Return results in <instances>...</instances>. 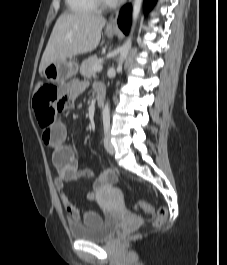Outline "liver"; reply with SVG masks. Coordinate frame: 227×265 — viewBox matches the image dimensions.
I'll return each instance as SVG.
<instances>
[{
  "label": "liver",
  "mask_w": 227,
  "mask_h": 265,
  "mask_svg": "<svg viewBox=\"0 0 227 265\" xmlns=\"http://www.w3.org/2000/svg\"><path fill=\"white\" fill-rule=\"evenodd\" d=\"M106 19L92 13H64L57 19L43 53L39 72L51 63L88 53L100 43Z\"/></svg>",
  "instance_id": "liver-1"
}]
</instances>
